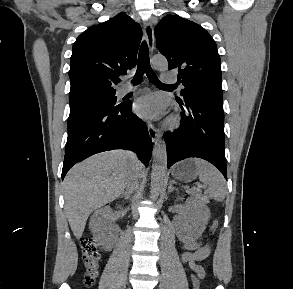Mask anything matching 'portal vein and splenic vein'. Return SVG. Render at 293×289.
<instances>
[{"instance_id": "18ae733b", "label": "portal vein and splenic vein", "mask_w": 293, "mask_h": 289, "mask_svg": "<svg viewBox=\"0 0 293 289\" xmlns=\"http://www.w3.org/2000/svg\"><path fill=\"white\" fill-rule=\"evenodd\" d=\"M199 187L203 188L204 186L200 185Z\"/></svg>"}]
</instances>
